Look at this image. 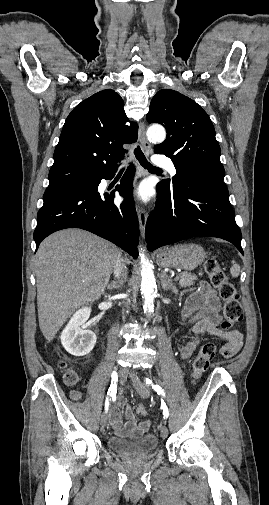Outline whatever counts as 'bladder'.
Segmentation results:
<instances>
[{
	"mask_svg": "<svg viewBox=\"0 0 269 505\" xmlns=\"http://www.w3.org/2000/svg\"><path fill=\"white\" fill-rule=\"evenodd\" d=\"M158 444V438L153 434H146L131 440L120 437H111L108 440V446L114 453L132 459L146 458L152 455Z\"/></svg>",
	"mask_w": 269,
	"mask_h": 505,
	"instance_id": "1",
	"label": "bladder"
}]
</instances>
